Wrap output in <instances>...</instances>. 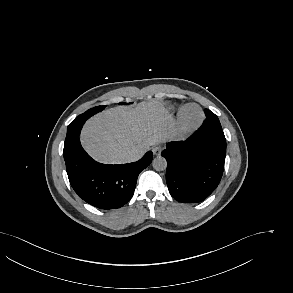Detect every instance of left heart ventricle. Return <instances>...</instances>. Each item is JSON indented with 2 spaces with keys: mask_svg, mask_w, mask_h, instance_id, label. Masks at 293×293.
Instances as JSON below:
<instances>
[{
  "mask_svg": "<svg viewBox=\"0 0 293 293\" xmlns=\"http://www.w3.org/2000/svg\"><path fill=\"white\" fill-rule=\"evenodd\" d=\"M185 118H186V120L188 122L194 123V122H196V121L199 120V118H200V112L196 108H189L186 111Z\"/></svg>",
  "mask_w": 293,
  "mask_h": 293,
  "instance_id": "left-heart-ventricle-1",
  "label": "left heart ventricle"
}]
</instances>
